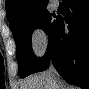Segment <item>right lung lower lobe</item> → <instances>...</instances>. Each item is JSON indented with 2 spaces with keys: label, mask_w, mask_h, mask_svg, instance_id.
<instances>
[{
  "label": "right lung lower lobe",
  "mask_w": 89,
  "mask_h": 89,
  "mask_svg": "<svg viewBox=\"0 0 89 89\" xmlns=\"http://www.w3.org/2000/svg\"><path fill=\"white\" fill-rule=\"evenodd\" d=\"M64 3L66 18L58 19L36 72L45 70L52 61L65 81L86 89L89 86V1L64 0ZM65 23L69 32L64 30Z\"/></svg>",
  "instance_id": "obj_1"
}]
</instances>
